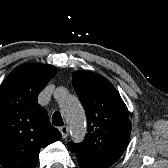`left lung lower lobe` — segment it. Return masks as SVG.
<instances>
[{"label":"left lung lower lobe","mask_w":168,"mask_h":168,"mask_svg":"<svg viewBox=\"0 0 168 168\" xmlns=\"http://www.w3.org/2000/svg\"><path fill=\"white\" fill-rule=\"evenodd\" d=\"M76 154L77 160L79 162L80 168H109L110 165L98 161L88 155L83 153L74 152Z\"/></svg>","instance_id":"left-lung-lower-lobe-1"}]
</instances>
